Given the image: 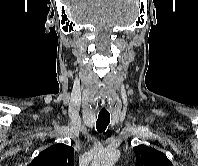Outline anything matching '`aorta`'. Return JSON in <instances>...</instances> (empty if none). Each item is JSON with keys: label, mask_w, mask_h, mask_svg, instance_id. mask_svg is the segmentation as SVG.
<instances>
[{"label": "aorta", "mask_w": 198, "mask_h": 166, "mask_svg": "<svg viewBox=\"0 0 198 166\" xmlns=\"http://www.w3.org/2000/svg\"><path fill=\"white\" fill-rule=\"evenodd\" d=\"M118 158L117 150H105L94 157L91 166H113Z\"/></svg>", "instance_id": "1"}]
</instances>
